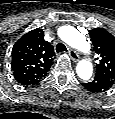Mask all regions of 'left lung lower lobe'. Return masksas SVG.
Instances as JSON below:
<instances>
[{"instance_id": "0a47b994", "label": "left lung lower lobe", "mask_w": 115, "mask_h": 119, "mask_svg": "<svg viewBox=\"0 0 115 119\" xmlns=\"http://www.w3.org/2000/svg\"><path fill=\"white\" fill-rule=\"evenodd\" d=\"M113 84L114 83L111 80L99 74H95L91 81L82 83L84 88L93 93H104L108 91Z\"/></svg>"}]
</instances>
